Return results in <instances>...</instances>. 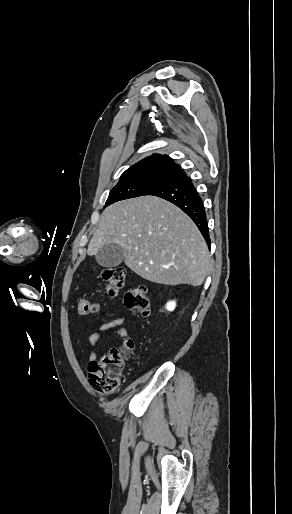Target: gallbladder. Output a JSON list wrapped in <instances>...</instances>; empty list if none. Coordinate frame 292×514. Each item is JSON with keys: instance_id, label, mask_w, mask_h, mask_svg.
<instances>
[{"instance_id": "1", "label": "gallbladder", "mask_w": 292, "mask_h": 514, "mask_svg": "<svg viewBox=\"0 0 292 514\" xmlns=\"http://www.w3.org/2000/svg\"><path fill=\"white\" fill-rule=\"evenodd\" d=\"M96 260L103 268H115L124 260V250L119 244H105L95 254Z\"/></svg>"}]
</instances>
